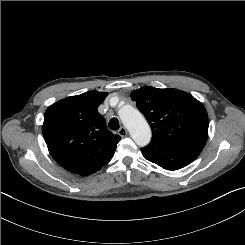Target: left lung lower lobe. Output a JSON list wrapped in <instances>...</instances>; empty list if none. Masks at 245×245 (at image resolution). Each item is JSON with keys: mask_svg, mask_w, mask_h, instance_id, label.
Instances as JSON below:
<instances>
[{"mask_svg": "<svg viewBox=\"0 0 245 245\" xmlns=\"http://www.w3.org/2000/svg\"><path fill=\"white\" fill-rule=\"evenodd\" d=\"M145 159L166 170H178L197 158V154L151 140L141 149Z\"/></svg>", "mask_w": 245, "mask_h": 245, "instance_id": "0a47b994", "label": "left lung lower lobe"}]
</instances>
